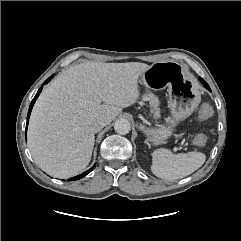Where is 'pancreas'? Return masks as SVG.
<instances>
[{"label":"pancreas","instance_id":"obj_1","mask_svg":"<svg viewBox=\"0 0 241 241\" xmlns=\"http://www.w3.org/2000/svg\"><path fill=\"white\" fill-rule=\"evenodd\" d=\"M144 100L149 101L151 107V113L154 114V118L157 119L160 116L159 100L152 93H147L143 96Z\"/></svg>","mask_w":241,"mask_h":241}]
</instances>
